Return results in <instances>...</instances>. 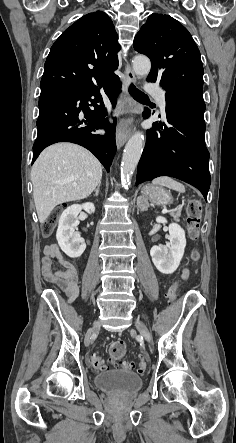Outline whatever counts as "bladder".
<instances>
[{
    "mask_svg": "<svg viewBox=\"0 0 236 443\" xmlns=\"http://www.w3.org/2000/svg\"><path fill=\"white\" fill-rule=\"evenodd\" d=\"M97 389L123 395L138 391L143 385V378L131 370L104 371L95 376Z\"/></svg>",
    "mask_w": 236,
    "mask_h": 443,
    "instance_id": "obj_1",
    "label": "bladder"
}]
</instances>
